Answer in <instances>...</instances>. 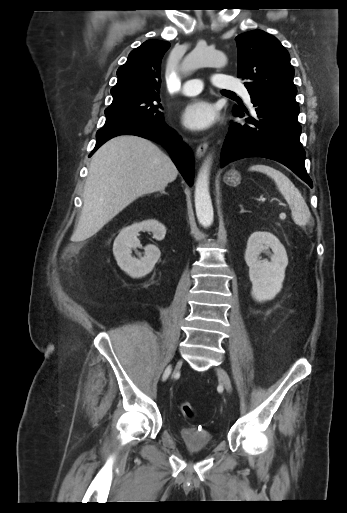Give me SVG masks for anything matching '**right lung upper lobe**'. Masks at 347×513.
Instances as JSON below:
<instances>
[{
	"instance_id": "1",
	"label": "right lung upper lobe",
	"mask_w": 347,
	"mask_h": 513,
	"mask_svg": "<svg viewBox=\"0 0 347 513\" xmlns=\"http://www.w3.org/2000/svg\"><path fill=\"white\" fill-rule=\"evenodd\" d=\"M170 43L147 40L130 52L124 65L117 70L118 81L111 89L113 100L128 95H158L160 91V65Z\"/></svg>"
}]
</instances>
